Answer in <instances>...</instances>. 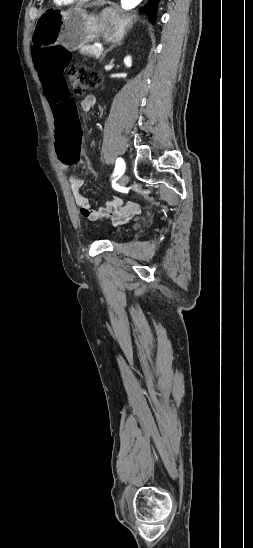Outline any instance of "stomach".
<instances>
[{
    "label": "stomach",
    "instance_id": "stomach-1",
    "mask_svg": "<svg viewBox=\"0 0 253 548\" xmlns=\"http://www.w3.org/2000/svg\"><path fill=\"white\" fill-rule=\"evenodd\" d=\"M132 17H123L113 7L98 15H88L81 8L45 12L37 21L33 40L40 45L61 43L70 51L103 38L118 42L132 26Z\"/></svg>",
    "mask_w": 253,
    "mask_h": 548
}]
</instances>
